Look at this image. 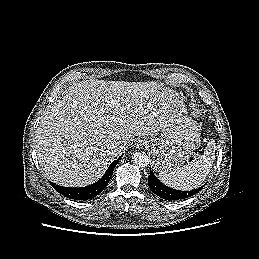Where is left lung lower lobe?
I'll list each match as a JSON object with an SVG mask.
<instances>
[{"label":"left lung lower lobe","instance_id":"left-lung-lower-lobe-1","mask_svg":"<svg viewBox=\"0 0 259 259\" xmlns=\"http://www.w3.org/2000/svg\"><path fill=\"white\" fill-rule=\"evenodd\" d=\"M148 185L152 190V192H154L156 195H158L159 197L165 200L185 199L198 193L203 188L202 186L192 191H179V190L172 189L166 185H163L151 170L148 178Z\"/></svg>","mask_w":259,"mask_h":259}]
</instances>
